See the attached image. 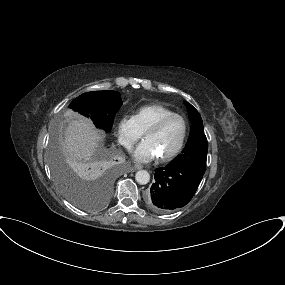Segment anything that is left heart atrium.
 Masks as SVG:
<instances>
[{"label":"left heart atrium","mask_w":285,"mask_h":285,"mask_svg":"<svg viewBox=\"0 0 285 285\" xmlns=\"http://www.w3.org/2000/svg\"><path fill=\"white\" fill-rule=\"evenodd\" d=\"M133 157L139 162H148L158 157V155L152 144L145 139L133 151Z\"/></svg>","instance_id":"39dd6f15"}]
</instances>
